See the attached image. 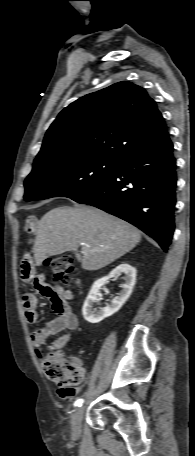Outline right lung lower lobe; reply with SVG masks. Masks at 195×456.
Returning <instances> with one entry per match:
<instances>
[{
    "label": "right lung lower lobe",
    "mask_w": 195,
    "mask_h": 456,
    "mask_svg": "<svg viewBox=\"0 0 195 456\" xmlns=\"http://www.w3.org/2000/svg\"><path fill=\"white\" fill-rule=\"evenodd\" d=\"M171 140L118 161L117 170L95 189L73 200L128 221L167 251L173 236L176 159Z\"/></svg>",
    "instance_id": "right-lung-lower-lobe-1"
}]
</instances>
